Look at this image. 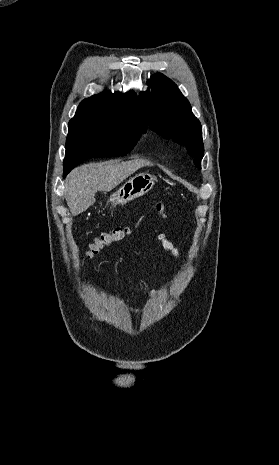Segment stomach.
<instances>
[{
	"label": "stomach",
	"mask_w": 279,
	"mask_h": 465,
	"mask_svg": "<svg viewBox=\"0 0 279 465\" xmlns=\"http://www.w3.org/2000/svg\"><path fill=\"white\" fill-rule=\"evenodd\" d=\"M156 178L150 173H139L130 178L116 192L108 202L112 205H123L149 192L155 185Z\"/></svg>",
	"instance_id": "1"
}]
</instances>
